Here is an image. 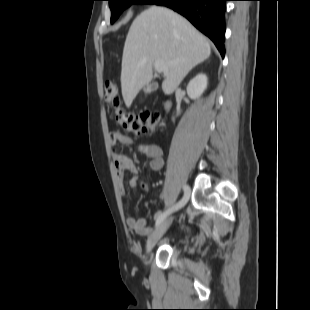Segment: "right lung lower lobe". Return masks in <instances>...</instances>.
Returning <instances> with one entry per match:
<instances>
[{"instance_id": "obj_1", "label": "right lung lower lobe", "mask_w": 310, "mask_h": 310, "mask_svg": "<svg viewBox=\"0 0 310 310\" xmlns=\"http://www.w3.org/2000/svg\"><path fill=\"white\" fill-rule=\"evenodd\" d=\"M226 1L229 0H154L152 4L167 6L186 17L224 57Z\"/></svg>"}]
</instances>
